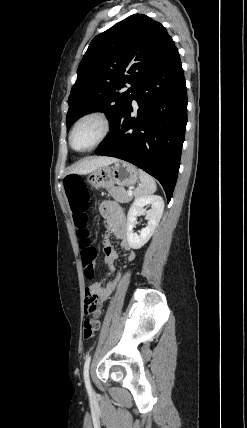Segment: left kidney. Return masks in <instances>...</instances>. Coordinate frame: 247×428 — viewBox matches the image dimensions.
Masks as SVG:
<instances>
[{
  "mask_svg": "<svg viewBox=\"0 0 247 428\" xmlns=\"http://www.w3.org/2000/svg\"><path fill=\"white\" fill-rule=\"evenodd\" d=\"M147 205H151L150 210L144 209ZM163 210L164 201L161 196L147 195L134 200L127 215V242L131 248L140 249L148 242L162 217ZM143 212L148 223L138 235L133 228L136 225L137 216Z\"/></svg>",
  "mask_w": 247,
  "mask_h": 428,
  "instance_id": "left-kidney-1",
  "label": "left kidney"
}]
</instances>
